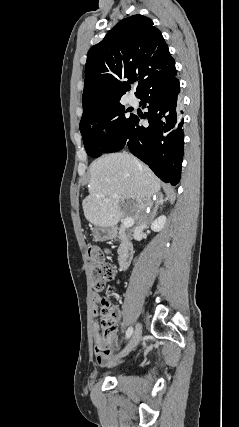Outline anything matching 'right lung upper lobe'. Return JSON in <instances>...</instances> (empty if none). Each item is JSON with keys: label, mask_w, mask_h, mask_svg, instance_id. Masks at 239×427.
Wrapping results in <instances>:
<instances>
[{"label": "right lung upper lobe", "mask_w": 239, "mask_h": 427, "mask_svg": "<svg viewBox=\"0 0 239 427\" xmlns=\"http://www.w3.org/2000/svg\"><path fill=\"white\" fill-rule=\"evenodd\" d=\"M176 72L161 32L150 18L121 20L88 52L82 95L83 116L98 105L120 101L133 80L135 95Z\"/></svg>", "instance_id": "cb5924a9"}]
</instances>
